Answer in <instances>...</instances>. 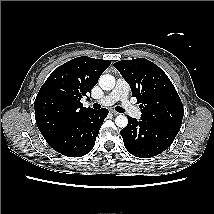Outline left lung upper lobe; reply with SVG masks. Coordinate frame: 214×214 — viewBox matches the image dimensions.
<instances>
[{
  "label": "left lung upper lobe",
  "mask_w": 214,
  "mask_h": 214,
  "mask_svg": "<svg viewBox=\"0 0 214 214\" xmlns=\"http://www.w3.org/2000/svg\"><path fill=\"white\" fill-rule=\"evenodd\" d=\"M115 68L140 103L141 120L181 128L183 105L168 76L147 59L122 60Z\"/></svg>",
  "instance_id": "left-lung-upper-lobe-1"
}]
</instances>
